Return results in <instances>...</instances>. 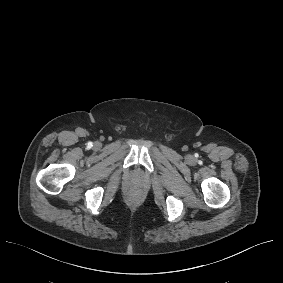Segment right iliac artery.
<instances>
[{
    "mask_svg": "<svg viewBox=\"0 0 283 283\" xmlns=\"http://www.w3.org/2000/svg\"><path fill=\"white\" fill-rule=\"evenodd\" d=\"M93 145H92V142H89L88 143V147H92Z\"/></svg>",
    "mask_w": 283,
    "mask_h": 283,
    "instance_id": "1",
    "label": "right iliac artery"
}]
</instances>
